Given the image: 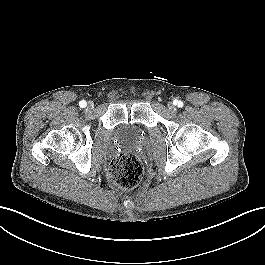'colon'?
Wrapping results in <instances>:
<instances>
[{"instance_id":"obj_1","label":"colon","mask_w":265,"mask_h":265,"mask_svg":"<svg viewBox=\"0 0 265 265\" xmlns=\"http://www.w3.org/2000/svg\"><path fill=\"white\" fill-rule=\"evenodd\" d=\"M108 173L114 184L127 189L139 183L143 175V167L133 153L122 152L110 162Z\"/></svg>"}]
</instances>
